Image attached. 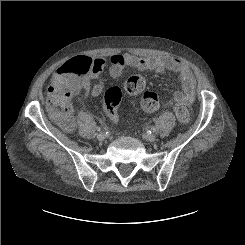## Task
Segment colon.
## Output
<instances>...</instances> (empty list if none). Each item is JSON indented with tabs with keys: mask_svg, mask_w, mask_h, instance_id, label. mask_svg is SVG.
<instances>
[{
	"mask_svg": "<svg viewBox=\"0 0 245 245\" xmlns=\"http://www.w3.org/2000/svg\"><path fill=\"white\" fill-rule=\"evenodd\" d=\"M103 67L93 58L77 55L69 59L62 68L63 81H54L47 92V107L52 119L64 130L74 126L72 116L71 88L78 87L89 81L91 77L101 74ZM145 79L141 75H133L124 84V91L129 95H138L145 89ZM122 90L118 87L109 88L104 96V110L108 119L117 121V110L122 101ZM164 99L155 92L146 91L142 96V108L146 112L157 110ZM178 120L182 124L189 121L186 104L178 99L173 105Z\"/></svg>",
	"mask_w": 245,
	"mask_h": 245,
	"instance_id": "colon-1",
	"label": "colon"
}]
</instances>
